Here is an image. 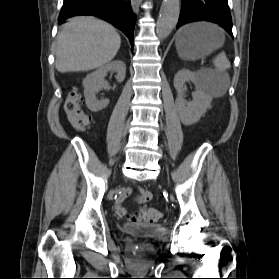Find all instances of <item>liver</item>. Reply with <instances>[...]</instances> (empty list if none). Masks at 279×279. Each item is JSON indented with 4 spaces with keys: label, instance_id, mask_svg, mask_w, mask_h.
I'll return each mask as SVG.
<instances>
[{
    "label": "liver",
    "instance_id": "1",
    "mask_svg": "<svg viewBox=\"0 0 279 279\" xmlns=\"http://www.w3.org/2000/svg\"><path fill=\"white\" fill-rule=\"evenodd\" d=\"M121 38L114 27L94 17H74L57 35L55 67L61 73L89 71L110 62Z\"/></svg>",
    "mask_w": 279,
    "mask_h": 279
}]
</instances>
